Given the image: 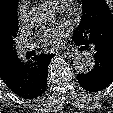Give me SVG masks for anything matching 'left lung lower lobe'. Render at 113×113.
Masks as SVG:
<instances>
[{
	"label": "left lung lower lobe",
	"instance_id": "left-lung-lower-lobe-1",
	"mask_svg": "<svg viewBox=\"0 0 113 113\" xmlns=\"http://www.w3.org/2000/svg\"><path fill=\"white\" fill-rule=\"evenodd\" d=\"M82 50H91L94 54V68L86 74H78L80 86L89 92H98L113 81V40H96L88 44V40L73 39Z\"/></svg>",
	"mask_w": 113,
	"mask_h": 113
}]
</instances>
